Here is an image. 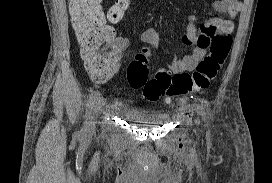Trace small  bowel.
<instances>
[{
	"label": "small bowel",
	"mask_w": 272,
	"mask_h": 183,
	"mask_svg": "<svg viewBox=\"0 0 272 183\" xmlns=\"http://www.w3.org/2000/svg\"><path fill=\"white\" fill-rule=\"evenodd\" d=\"M216 15L204 20L197 26L196 16L191 15L188 18L183 42L191 47V54L179 59H174L170 65V71L173 74H179L185 71L193 70L206 54L209 39H213V34H219L220 31H231L233 29V20L243 9V3L239 0H217L212 5ZM113 30V28H112ZM114 33V30H113ZM138 40L151 47H157L159 44V35L154 28H147L138 37ZM132 39L127 36L113 35V45L119 56L132 44ZM119 63L114 67L107 78L103 80L94 79L96 82H105L110 79L118 70Z\"/></svg>",
	"instance_id": "1"
}]
</instances>
